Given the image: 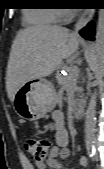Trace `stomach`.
Here are the masks:
<instances>
[{"label":"stomach","instance_id":"stomach-1","mask_svg":"<svg viewBox=\"0 0 104 169\" xmlns=\"http://www.w3.org/2000/svg\"><path fill=\"white\" fill-rule=\"evenodd\" d=\"M57 92L52 82L39 78L27 81L15 94L13 108L19 117L37 120L53 110Z\"/></svg>","mask_w":104,"mask_h":169}]
</instances>
